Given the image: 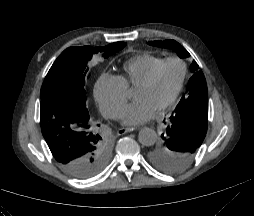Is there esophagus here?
Listing matches in <instances>:
<instances>
[{
  "label": "esophagus",
  "instance_id": "1",
  "mask_svg": "<svg viewBox=\"0 0 254 216\" xmlns=\"http://www.w3.org/2000/svg\"><path fill=\"white\" fill-rule=\"evenodd\" d=\"M136 128H119L117 130V134L118 135H124L125 133H129V132H132V131H135Z\"/></svg>",
  "mask_w": 254,
  "mask_h": 216
}]
</instances>
